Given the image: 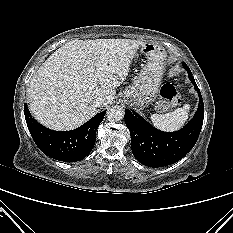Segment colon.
Wrapping results in <instances>:
<instances>
[{
	"instance_id": "obj_1",
	"label": "colon",
	"mask_w": 233,
	"mask_h": 233,
	"mask_svg": "<svg viewBox=\"0 0 233 233\" xmlns=\"http://www.w3.org/2000/svg\"><path fill=\"white\" fill-rule=\"evenodd\" d=\"M180 85L178 83H168L163 85L160 91V100L158 102V109L166 111L170 107L177 105L181 99Z\"/></svg>"
}]
</instances>
